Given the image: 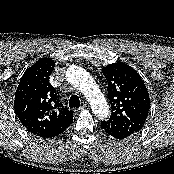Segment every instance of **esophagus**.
<instances>
[{"label": "esophagus", "instance_id": "34e87169", "mask_svg": "<svg viewBox=\"0 0 174 174\" xmlns=\"http://www.w3.org/2000/svg\"><path fill=\"white\" fill-rule=\"evenodd\" d=\"M87 107V103L83 102L79 110H84Z\"/></svg>", "mask_w": 174, "mask_h": 174}]
</instances>
